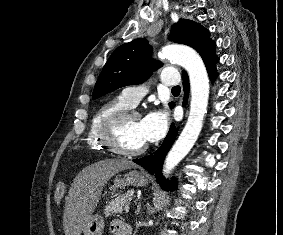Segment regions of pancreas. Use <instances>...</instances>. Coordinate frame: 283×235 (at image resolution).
<instances>
[{
	"mask_svg": "<svg viewBox=\"0 0 283 235\" xmlns=\"http://www.w3.org/2000/svg\"><path fill=\"white\" fill-rule=\"evenodd\" d=\"M131 200V195L125 193L117 196L116 198L110 200L104 210V215L108 218L110 215L120 214L123 211L125 205H127Z\"/></svg>",
	"mask_w": 283,
	"mask_h": 235,
	"instance_id": "pancreas-1",
	"label": "pancreas"
}]
</instances>
